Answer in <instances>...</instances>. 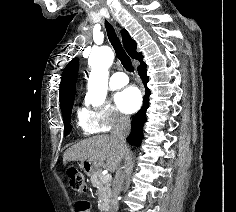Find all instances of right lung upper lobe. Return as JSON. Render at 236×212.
<instances>
[{"label":"right lung upper lobe","instance_id":"obj_1","mask_svg":"<svg viewBox=\"0 0 236 212\" xmlns=\"http://www.w3.org/2000/svg\"><path fill=\"white\" fill-rule=\"evenodd\" d=\"M122 39L127 53L133 59L141 61L143 56L141 53L136 51L137 44L133 39H131L129 33L125 29L122 30ZM78 67V58H73L62 73L60 84V105H62L64 101L72 99L75 96Z\"/></svg>","mask_w":236,"mask_h":212}]
</instances>
